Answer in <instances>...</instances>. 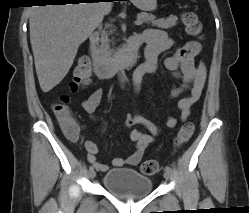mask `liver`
Masks as SVG:
<instances>
[{
  "instance_id": "obj_1",
  "label": "liver",
  "mask_w": 249,
  "mask_h": 213,
  "mask_svg": "<svg viewBox=\"0 0 249 213\" xmlns=\"http://www.w3.org/2000/svg\"><path fill=\"white\" fill-rule=\"evenodd\" d=\"M112 9V2L33 6L30 42L40 87L47 93L69 72L79 46Z\"/></svg>"
}]
</instances>
